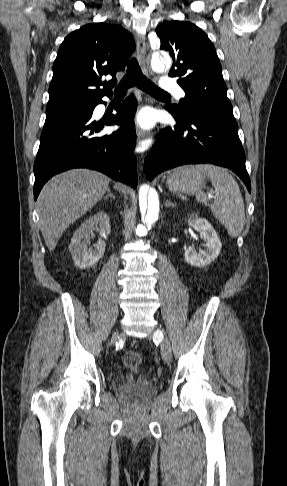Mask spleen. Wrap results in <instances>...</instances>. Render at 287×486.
Segmentation results:
<instances>
[{"label": "spleen", "mask_w": 287, "mask_h": 486, "mask_svg": "<svg viewBox=\"0 0 287 486\" xmlns=\"http://www.w3.org/2000/svg\"><path fill=\"white\" fill-rule=\"evenodd\" d=\"M197 167L207 173L215 189L216 199L209 205L212 214L231 237H238L245 225L244 201L238 183L225 168L208 164ZM196 200L208 205V197L201 191L196 194Z\"/></svg>", "instance_id": "3e777b00"}]
</instances>
